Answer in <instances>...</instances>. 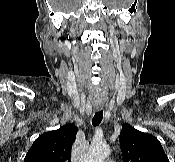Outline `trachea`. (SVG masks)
<instances>
[{
  "label": "trachea",
  "instance_id": "trachea-1",
  "mask_svg": "<svg viewBox=\"0 0 175 162\" xmlns=\"http://www.w3.org/2000/svg\"><path fill=\"white\" fill-rule=\"evenodd\" d=\"M102 119H103V111L101 110L96 112L92 119V125L94 127L98 126L101 123Z\"/></svg>",
  "mask_w": 175,
  "mask_h": 162
}]
</instances>
